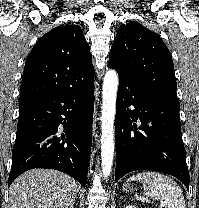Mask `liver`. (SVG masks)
<instances>
[{
	"label": "liver",
	"mask_w": 199,
	"mask_h": 208,
	"mask_svg": "<svg viewBox=\"0 0 199 208\" xmlns=\"http://www.w3.org/2000/svg\"><path fill=\"white\" fill-rule=\"evenodd\" d=\"M78 191V183L67 174L32 169L10 186V208H69Z\"/></svg>",
	"instance_id": "liver-1"
}]
</instances>
